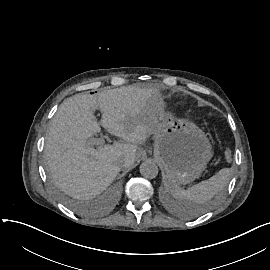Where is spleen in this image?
<instances>
[{
  "label": "spleen",
  "mask_w": 270,
  "mask_h": 270,
  "mask_svg": "<svg viewBox=\"0 0 270 270\" xmlns=\"http://www.w3.org/2000/svg\"><path fill=\"white\" fill-rule=\"evenodd\" d=\"M230 177L231 170L223 168L209 179L203 180L189 189H181L168 182L165 186L172 190V195L182 204L186 211L194 214L202 203L207 202L218 191L226 188Z\"/></svg>",
  "instance_id": "obj_1"
}]
</instances>
